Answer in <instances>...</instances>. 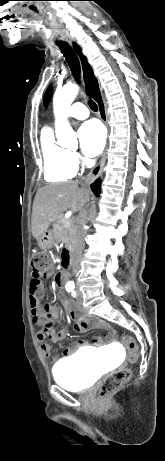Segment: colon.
Here are the masks:
<instances>
[{
  "label": "colon",
  "instance_id": "5ec220e1",
  "mask_svg": "<svg viewBox=\"0 0 165 461\" xmlns=\"http://www.w3.org/2000/svg\"><path fill=\"white\" fill-rule=\"evenodd\" d=\"M31 283L30 288L38 298L43 293L41 279L51 273V265L48 256L42 253L36 254L31 262ZM122 342L128 350V359L131 363H136L139 358V349L135 339L132 336L124 335ZM132 371L130 368H121L114 373L106 376L99 389L100 397L107 398L114 392L118 391L131 378Z\"/></svg>",
  "mask_w": 165,
  "mask_h": 461
}]
</instances>
